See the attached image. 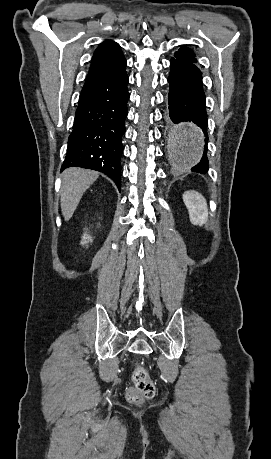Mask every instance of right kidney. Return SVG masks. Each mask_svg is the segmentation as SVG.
I'll return each mask as SVG.
<instances>
[{
  "label": "right kidney",
  "instance_id": "obj_1",
  "mask_svg": "<svg viewBox=\"0 0 271 459\" xmlns=\"http://www.w3.org/2000/svg\"><path fill=\"white\" fill-rule=\"evenodd\" d=\"M97 228H100V224H97ZM84 239H88V237H85L84 235ZM82 243H85V241H82Z\"/></svg>",
  "mask_w": 271,
  "mask_h": 459
}]
</instances>
